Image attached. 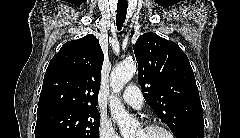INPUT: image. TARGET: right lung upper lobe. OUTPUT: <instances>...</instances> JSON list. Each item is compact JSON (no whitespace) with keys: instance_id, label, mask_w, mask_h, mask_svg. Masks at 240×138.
<instances>
[{"instance_id":"1","label":"right lung upper lobe","mask_w":240,"mask_h":138,"mask_svg":"<svg viewBox=\"0 0 240 138\" xmlns=\"http://www.w3.org/2000/svg\"><path fill=\"white\" fill-rule=\"evenodd\" d=\"M103 60L94 35L65 43L47 67L37 115L60 109H97Z\"/></svg>"}]
</instances>
